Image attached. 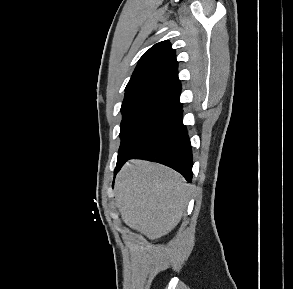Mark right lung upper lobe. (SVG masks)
<instances>
[{"label": "right lung upper lobe", "instance_id": "right-lung-upper-lobe-1", "mask_svg": "<svg viewBox=\"0 0 293 289\" xmlns=\"http://www.w3.org/2000/svg\"><path fill=\"white\" fill-rule=\"evenodd\" d=\"M177 67L175 50L169 41L155 44L140 58L126 86L124 101L157 99L182 107Z\"/></svg>", "mask_w": 293, "mask_h": 289}]
</instances>
